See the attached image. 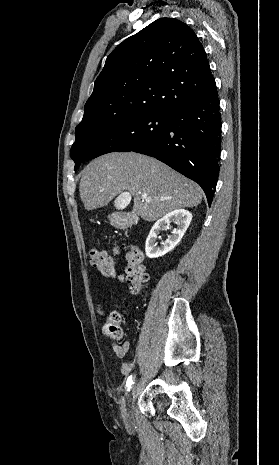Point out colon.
<instances>
[{
    "mask_svg": "<svg viewBox=\"0 0 279 465\" xmlns=\"http://www.w3.org/2000/svg\"><path fill=\"white\" fill-rule=\"evenodd\" d=\"M127 281L130 284L132 293H139L148 283V274L144 265V253L136 246L127 247ZM89 258L92 266L103 276L113 278L116 275L113 258L103 249L93 248L90 250ZM122 316L113 312L108 315L105 326L106 334L114 340H119L123 336L120 326Z\"/></svg>",
    "mask_w": 279,
    "mask_h": 465,
    "instance_id": "obj_1",
    "label": "colon"
}]
</instances>
